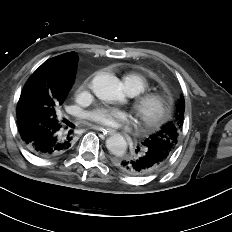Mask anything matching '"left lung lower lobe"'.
I'll list each match as a JSON object with an SVG mask.
<instances>
[{"label":"left lung lower lobe","instance_id":"0a47b994","mask_svg":"<svg viewBox=\"0 0 232 232\" xmlns=\"http://www.w3.org/2000/svg\"><path fill=\"white\" fill-rule=\"evenodd\" d=\"M169 154L163 149L141 143L130 159H117L115 165L124 173L132 176H146L160 169L168 160Z\"/></svg>","mask_w":232,"mask_h":232}]
</instances>
